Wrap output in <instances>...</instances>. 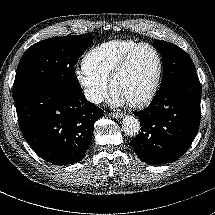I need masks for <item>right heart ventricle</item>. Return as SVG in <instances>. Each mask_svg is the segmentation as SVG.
<instances>
[{
	"mask_svg": "<svg viewBox=\"0 0 215 215\" xmlns=\"http://www.w3.org/2000/svg\"><path fill=\"white\" fill-rule=\"evenodd\" d=\"M137 43L132 39H117L102 43L84 56L83 69L92 77L108 83L119 60Z\"/></svg>",
	"mask_w": 215,
	"mask_h": 215,
	"instance_id": "obj_1",
	"label": "right heart ventricle"
}]
</instances>
